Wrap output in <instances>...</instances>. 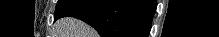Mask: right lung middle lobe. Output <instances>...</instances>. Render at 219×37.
Wrapping results in <instances>:
<instances>
[{"label": "right lung middle lobe", "instance_id": "right-lung-middle-lobe-1", "mask_svg": "<svg viewBox=\"0 0 219 37\" xmlns=\"http://www.w3.org/2000/svg\"><path fill=\"white\" fill-rule=\"evenodd\" d=\"M73 0H59L56 9H55V15L56 16L66 5H68Z\"/></svg>", "mask_w": 219, "mask_h": 37}]
</instances>
